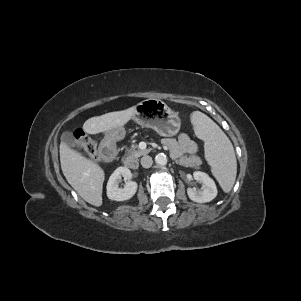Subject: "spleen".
Wrapping results in <instances>:
<instances>
[{
  "instance_id": "3e777b00",
  "label": "spleen",
  "mask_w": 301,
  "mask_h": 301,
  "mask_svg": "<svg viewBox=\"0 0 301 301\" xmlns=\"http://www.w3.org/2000/svg\"><path fill=\"white\" fill-rule=\"evenodd\" d=\"M197 135L205 142V157L224 192H229L236 179L237 161L234 148L220 127L202 112L191 114Z\"/></svg>"
}]
</instances>
